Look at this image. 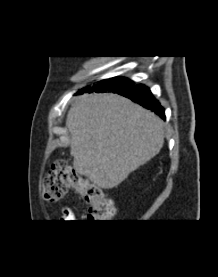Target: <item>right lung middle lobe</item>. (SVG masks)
I'll list each match as a JSON object with an SVG mask.
<instances>
[{"instance_id": "obj_1", "label": "right lung middle lobe", "mask_w": 218, "mask_h": 277, "mask_svg": "<svg viewBox=\"0 0 218 277\" xmlns=\"http://www.w3.org/2000/svg\"><path fill=\"white\" fill-rule=\"evenodd\" d=\"M100 83L102 85L103 92L124 89L134 84V82L121 77H115L109 80H102L100 81Z\"/></svg>"}]
</instances>
